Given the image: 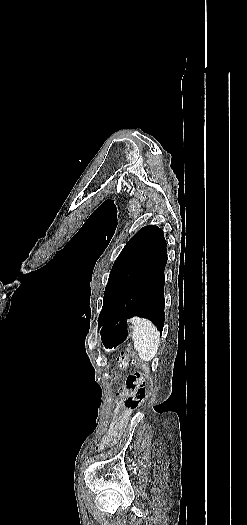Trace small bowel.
<instances>
[{"mask_svg": "<svg viewBox=\"0 0 247 525\" xmlns=\"http://www.w3.org/2000/svg\"><path fill=\"white\" fill-rule=\"evenodd\" d=\"M129 388L125 386L123 389V393L127 394L129 392ZM125 419V415L119 416L111 425L109 431L105 435V437L102 440V443L99 445V449H102L105 444H108L110 441H112L115 437H117L120 433L121 427L123 425Z\"/></svg>", "mask_w": 247, "mask_h": 525, "instance_id": "small-bowel-1", "label": "small bowel"}]
</instances>
